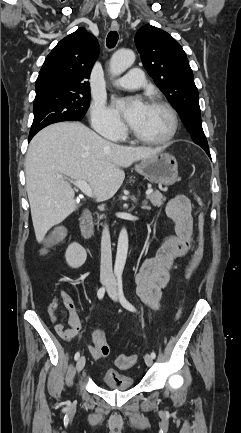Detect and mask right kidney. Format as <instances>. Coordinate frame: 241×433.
<instances>
[{
    "mask_svg": "<svg viewBox=\"0 0 241 433\" xmlns=\"http://www.w3.org/2000/svg\"><path fill=\"white\" fill-rule=\"evenodd\" d=\"M65 258L67 264L71 268L76 269L85 263L87 259V253L79 243L74 242L68 246L65 253Z\"/></svg>",
    "mask_w": 241,
    "mask_h": 433,
    "instance_id": "obj_1",
    "label": "right kidney"
}]
</instances>
